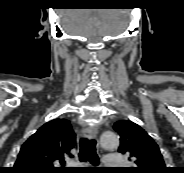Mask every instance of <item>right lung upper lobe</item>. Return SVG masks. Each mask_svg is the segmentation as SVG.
<instances>
[{
  "instance_id": "right-lung-upper-lobe-1",
  "label": "right lung upper lobe",
  "mask_w": 184,
  "mask_h": 173,
  "mask_svg": "<svg viewBox=\"0 0 184 173\" xmlns=\"http://www.w3.org/2000/svg\"><path fill=\"white\" fill-rule=\"evenodd\" d=\"M76 135L70 121L54 119L44 124L22 146L13 173H69L64 158L74 147Z\"/></svg>"
}]
</instances>
